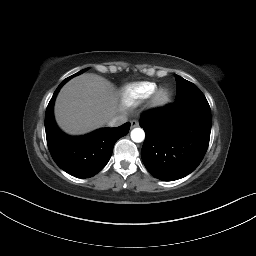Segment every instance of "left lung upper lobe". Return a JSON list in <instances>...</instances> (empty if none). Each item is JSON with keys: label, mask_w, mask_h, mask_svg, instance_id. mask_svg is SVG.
<instances>
[{"label": "left lung upper lobe", "mask_w": 256, "mask_h": 256, "mask_svg": "<svg viewBox=\"0 0 256 256\" xmlns=\"http://www.w3.org/2000/svg\"><path fill=\"white\" fill-rule=\"evenodd\" d=\"M177 99L176 101L185 100L194 97H205L200 89L193 83L176 75Z\"/></svg>", "instance_id": "left-lung-upper-lobe-1"}]
</instances>
